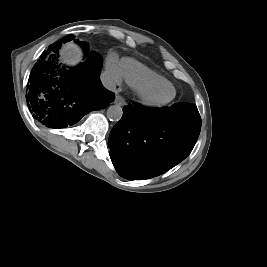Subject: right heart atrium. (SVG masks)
I'll list each match as a JSON object with an SVG mask.
<instances>
[{
    "label": "right heart atrium",
    "instance_id": "1",
    "mask_svg": "<svg viewBox=\"0 0 267 267\" xmlns=\"http://www.w3.org/2000/svg\"><path fill=\"white\" fill-rule=\"evenodd\" d=\"M106 76L110 83L120 84L123 79L121 63L117 61L114 54H110L106 59Z\"/></svg>",
    "mask_w": 267,
    "mask_h": 267
}]
</instances>
